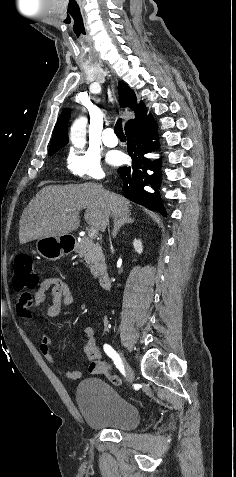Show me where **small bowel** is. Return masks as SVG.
Here are the masks:
<instances>
[{
    "instance_id": "1",
    "label": "small bowel",
    "mask_w": 236,
    "mask_h": 477,
    "mask_svg": "<svg viewBox=\"0 0 236 477\" xmlns=\"http://www.w3.org/2000/svg\"><path fill=\"white\" fill-rule=\"evenodd\" d=\"M50 291L51 300L42 309V315L45 318L52 319L58 316L63 306H69L74 302V293L72 287L61 278L49 277L41 281L38 290L32 297L29 305L19 304L18 314L29 321L32 320V310L38 308L46 300V293ZM54 345L53 341L45 334L40 335V352L44 358L55 363L56 359L51 351ZM82 353L90 362L88 372L92 375L108 373L105 363L100 360L101 352L96 341V332L93 326H87L84 330V343ZM65 376L70 380L82 378L83 373L79 370H65Z\"/></svg>"
}]
</instances>
